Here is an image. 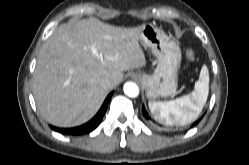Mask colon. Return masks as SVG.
I'll use <instances>...</instances> for the list:
<instances>
[{"mask_svg": "<svg viewBox=\"0 0 249 165\" xmlns=\"http://www.w3.org/2000/svg\"><path fill=\"white\" fill-rule=\"evenodd\" d=\"M188 57L190 58V59H193L194 58V53H193V51H189L188 52Z\"/></svg>", "mask_w": 249, "mask_h": 165, "instance_id": "obj_1", "label": "colon"}]
</instances>
